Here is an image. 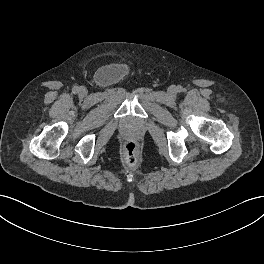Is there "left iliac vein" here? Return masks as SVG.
<instances>
[{
  "instance_id": "1",
  "label": "left iliac vein",
  "mask_w": 264,
  "mask_h": 264,
  "mask_svg": "<svg viewBox=\"0 0 264 264\" xmlns=\"http://www.w3.org/2000/svg\"><path fill=\"white\" fill-rule=\"evenodd\" d=\"M168 92L170 95H175L176 94V87L175 86H170L168 89Z\"/></svg>"
}]
</instances>
